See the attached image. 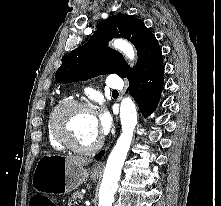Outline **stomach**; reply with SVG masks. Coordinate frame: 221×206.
Wrapping results in <instances>:
<instances>
[{
    "label": "stomach",
    "instance_id": "0dacf381",
    "mask_svg": "<svg viewBox=\"0 0 221 206\" xmlns=\"http://www.w3.org/2000/svg\"><path fill=\"white\" fill-rule=\"evenodd\" d=\"M89 176L97 179L99 173L63 155H44L36 164L32 185L37 192L63 195L75 190Z\"/></svg>",
    "mask_w": 221,
    "mask_h": 206
}]
</instances>
